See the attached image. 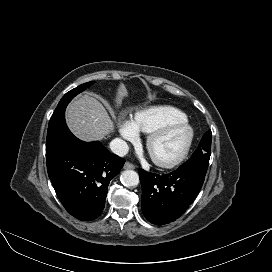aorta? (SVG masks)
Masks as SVG:
<instances>
[{
  "label": "aorta",
  "mask_w": 272,
  "mask_h": 272,
  "mask_svg": "<svg viewBox=\"0 0 272 272\" xmlns=\"http://www.w3.org/2000/svg\"><path fill=\"white\" fill-rule=\"evenodd\" d=\"M121 182L124 186L135 187L139 184V175L133 170H125L121 175Z\"/></svg>",
  "instance_id": "obj_1"
}]
</instances>
